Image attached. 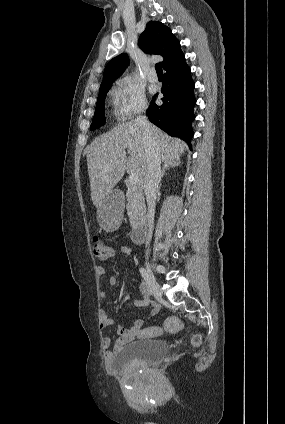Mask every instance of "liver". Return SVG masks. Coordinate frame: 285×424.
Segmentation results:
<instances>
[{
  "instance_id": "6515ba94",
  "label": "liver",
  "mask_w": 285,
  "mask_h": 424,
  "mask_svg": "<svg viewBox=\"0 0 285 424\" xmlns=\"http://www.w3.org/2000/svg\"><path fill=\"white\" fill-rule=\"evenodd\" d=\"M163 162L176 159L184 153L187 145L169 137L162 130L150 124ZM128 156H127V153ZM90 179L91 199L98 207L112 192L123 177L136 173L139 185L144 187L147 172V157L143 130L135 121L118 125L95 139L85 150Z\"/></svg>"
}]
</instances>
